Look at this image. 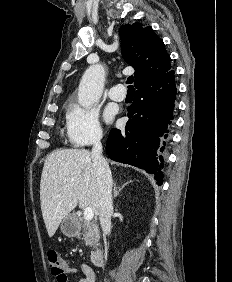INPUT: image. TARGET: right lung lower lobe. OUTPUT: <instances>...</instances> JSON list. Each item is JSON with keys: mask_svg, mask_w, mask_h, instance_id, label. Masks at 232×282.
<instances>
[{"mask_svg": "<svg viewBox=\"0 0 232 282\" xmlns=\"http://www.w3.org/2000/svg\"><path fill=\"white\" fill-rule=\"evenodd\" d=\"M135 87L134 101L127 110L129 121L124 130L113 128L110 131L106 151L114 161L153 173L161 185V152L174 118L177 92L174 71L144 80Z\"/></svg>", "mask_w": 232, "mask_h": 282, "instance_id": "right-lung-lower-lobe-1", "label": "right lung lower lobe"}]
</instances>
